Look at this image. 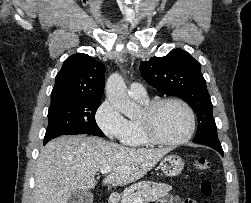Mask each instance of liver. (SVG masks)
Returning <instances> with one entry per match:
<instances>
[{
    "label": "liver",
    "instance_id": "1",
    "mask_svg": "<svg viewBox=\"0 0 251 203\" xmlns=\"http://www.w3.org/2000/svg\"><path fill=\"white\" fill-rule=\"evenodd\" d=\"M170 151L138 149L92 136H61L42 148L35 172L34 203H68L78 190L96 185L103 167L113 170L104 184L124 186L141 179Z\"/></svg>",
    "mask_w": 251,
    "mask_h": 203
}]
</instances>
